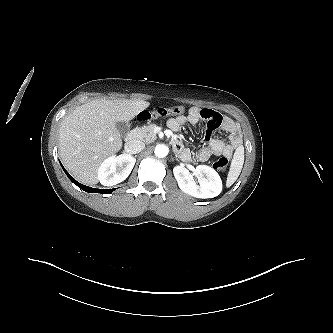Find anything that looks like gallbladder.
I'll use <instances>...</instances> for the list:
<instances>
[{
	"label": "gallbladder",
	"instance_id": "bac80fb5",
	"mask_svg": "<svg viewBox=\"0 0 333 333\" xmlns=\"http://www.w3.org/2000/svg\"><path fill=\"white\" fill-rule=\"evenodd\" d=\"M116 128L119 131V133L124 136L126 135L130 130V125L128 122L123 121H117L116 122Z\"/></svg>",
	"mask_w": 333,
	"mask_h": 333
}]
</instances>
